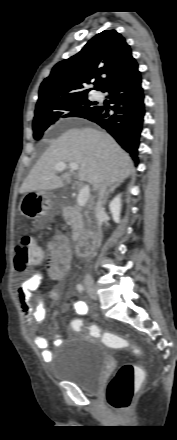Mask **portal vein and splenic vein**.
Here are the masks:
<instances>
[{"label":"portal vein and splenic vein","instance_id":"obj_1","mask_svg":"<svg viewBox=\"0 0 177 440\" xmlns=\"http://www.w3.org/2000/svg\"><path fill=\"white\" fill-rule=\"evenodd\" d=\"M67 167L70 168L71 170H74V171L78 170V168H79V166H78L77 163H69V164H66V163H64V162H60V163H57V164H56L55 169H56V171H63V170L66 169ZM89 195H90V187H89V185H85V186L80 190V192H79V194H78V197H77V204H78L80 207L85 206L86 203H87V201H88Z\"/></svg>","mask_w":177,"mask_h":440}]
</instances>
